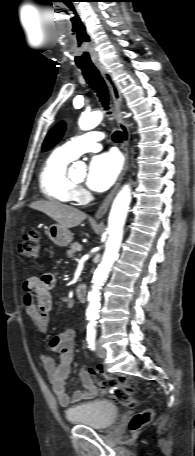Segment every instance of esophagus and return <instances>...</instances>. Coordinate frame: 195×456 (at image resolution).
Returning <instances> with one entry per match:
<instances>
[{
  "instance_id": "esophagus-1",
  "label": "esophagus",
  "mask_w": 195,
  "mask_h": 456,
  "mask_svg": "<svg viewBox=\"0 0 195 456\" xmlns=\"http://www.w3.org/2000/svg\"><path fill=\"white\" fill-rule=\"evenodd\" d=\"M97 68H98L99 72L101 73L102 77L104 78V80L106 81V83L111 91V94H112L118 125L123 134L122 150H123V155H124V166H123L122 172L119 175L113 189L106 196L103 203L101 204V206L95 213V218L101 219L108 211L110 203H111L114 195L116 194V192L126 174V171L128 169L130 133H129V129L126 125V122L124 120V117H123L122 96H121L120 90H119L116 82L114 81L111 73L103 65H97Z\"/></svg>"
}]
</instances>
